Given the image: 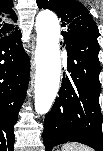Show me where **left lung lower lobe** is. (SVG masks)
Here are the masks:
<instances>
[{"instance_id": "1", "label": "left lung lower lobe", "mask_w": 103, "mask_h": 151, "mask_svg": "<svg viewBox=\"0 0 103 151\" xmlns=\"http://www.w3.org/2000/svg\"><path fill=\"white\" fill-rule=\"evenodd\" d=\"M63 37V46L68 48L69 74L63 77L59 96L46 115L43 131L46 151L66 142H80L103 151L98 41L70 33Z\"/></svg>"}]
</instances>
